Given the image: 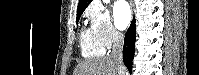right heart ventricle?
<instances>
[{
    "label": "right heart ventricle",
    "instance_id": "e07e8e85",
    "mask_svg": "<svg viewBox=\"0 0 199 75\" xmlns=\"http://www.w3.org/2000/svg\"><path fill=\"white\" fill-rule=\"evenodd\" d=\"M80 41L83 56L96 58L104 55L105 48L99 42L91 26L82 30Z\"/></svg>",
    "mask_w": 199,
    "mask_h": 75
}]
</instances>
